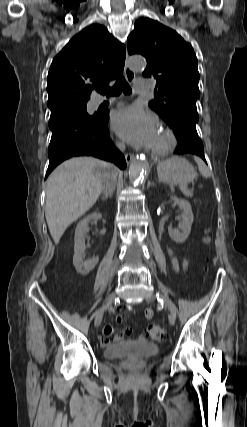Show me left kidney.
<instances>
[{
  "label": "left kidney",
  "instance_id": "left-kidney-1",
  "mask_svg": "<svg viewBox=\"0 0 247 427\" xmlns=\"http://www.w3.org/2000/svg\"><path fill=\"white\" fill-rule=\"evenodd\" d=\"M171 199L178 205L181 210V222L178 225L179 229L168 227V233L172 240L176 243H184L191 232V226L193 223V213L191 205L184 199H178L177 197H171Z\"/></svg>",
  "mask_w": 247,
  "mask_h": 427
}]
</instances>
